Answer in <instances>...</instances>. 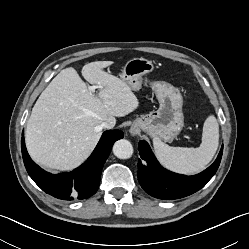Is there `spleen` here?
Wrapping results in <instances>:
<instances>
[{
    "mask_svg": "<svg viewBox=\"0 0 249 249\" xmlns=\"http://www.w3.org/2000/svg\"><path fill=\"white\" fill-rule=\"evenodd\" d=\"M219 144V125L210 115L204 122L202 143L198 148L171 147L158 138L153 139L160 163L176 173L192 175L204 170L215 155Z\"/></svg>",
    "mask_w": 249,
    "mask_h": 249,
    "instance_id": "3e777b00",
    "label": "spleen"
}]
</instances>
